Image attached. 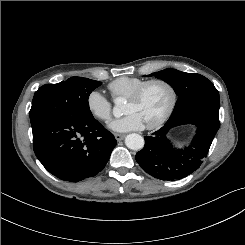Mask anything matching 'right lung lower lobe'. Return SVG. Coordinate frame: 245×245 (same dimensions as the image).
Here are the masks:
<instances>
[{"label":"right lung lower lobe","mask_w":245,"mask_h":245,"mask_svg":"<svg viewBox=\"0 0 245 245\" xmlns=\"http://www.w3.org/2000/svg\"><path fill=\"white\" fill-rule=\"evenodd\" d=\"M34 152L59 179L78 182L95 176L117 141L96 119L67 120L46 115L31 123Z\"/></svg>","instance_id":"98d812e1"}]
</instances>
